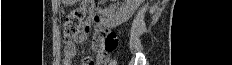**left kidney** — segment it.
Segmentation results:
<instances>
[{
    "mask_svg": "<svg viewBox=\"0 0 232 65\" xmlns=\"http://www.w3.org/2000/svg\"><path fill=\"white\" fill-rule=\"evenodd\" d=\"M141 0H125L120 8L106 9L103 12L104 22L110 27H116L129 20L139 7Z\"/></svg>",
    "mask_w": 232,
    "mask_h": 65,
    "instance_id": "1",
    "label": "left kidney"
}]
</instances>
